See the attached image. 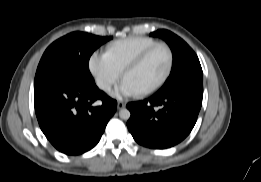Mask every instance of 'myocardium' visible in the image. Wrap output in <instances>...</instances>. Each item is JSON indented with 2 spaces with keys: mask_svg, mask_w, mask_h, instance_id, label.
<instances>
[{
  "mask_svg": "<svg viewBox=\"0 0 261 182\" xmlns=\"http://www.w3.org/2000/svg\"><path fill=\"white\" fill-rule=\"evenodd\" d=\"M158 48H164L167 53H168V57H169V61H168V66L166 69L165 74L163 75V77L153 86L138 92L137 94L139 96H145V95H149L155 91H157L158 89H160L169 79L173 67H174V53L171 49V47L169 45H167L166 43H157L149 48H147L146 50H144L142 53H140L132 62H130L122 71V79H125L126 75L130 72H132L133 70L137 69L144 61L145 59L156 49Z\"/></svg>",
  "mask_w": 261,
  "mask_h": 182,
  "instance_id": "myocardium-1",
  "label": "myocardium"
}]
</instances>
